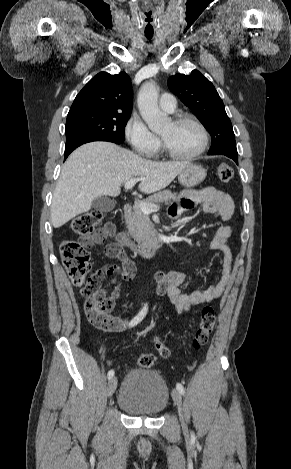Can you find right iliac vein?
<instances>
[{
    "label": "right iliac vein",
    "mask_w": 291,
    "mask_h": 469,
    "mask_svg": "<svg viewBox=\"0 0 291 469\" xmlns=\"http://www.w3.org/2000/svg\"><path fill=\"white\" fill-rule=\"evenodd\" d=\"M116 387H117V378L116 377H112L109 382H108V386H107V396L108 397H111L115 390H116Z\"/></svg>",
    "instance_id": "obj_1"
}]
</instances>
